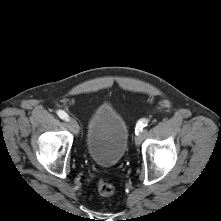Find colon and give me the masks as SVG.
<instances>
[{
    "instance_id": "1",
    "label": "colon",
    "mask_w": 221,
    "mask_h": 221,
    "mask_svg": "<svg viewBox=\"0 0 221 221\" xmlns=\"http://www.w3.org/2000/svg\"><path fill=\"white\" fill-rule=\"evenodd\" d=\"M97 191L101 196L108 197L114 194L115 186L111 182L100 180L97 183Z\"/></svg>"
}]
</instances>
